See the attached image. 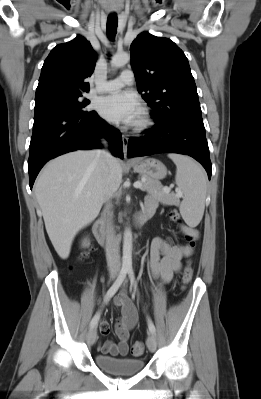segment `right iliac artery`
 I'll use <instances>...</instances> for the list:
<instances>
[{"label": "right iliac artery", "mask_w": 261, "mask_h": 399, "mask_svg": "<svg viewBox=\"0 0 261 399\" xmlns=\"http://www.w3.org/2000/svg\"><path fill=\"white\" fill-rule=\"evenodd\" d=\"M128 270L126 268H122L116 281L112 284V286L109 288V290L107 291L105 297H104V301L103 304H107L109 302V300L116 294V292L118 291V289L120 288V286L122 285V283L124 282V280L126 279V275H127ZM100 314L101 312H97L94 317L92 318L91 322H90V328H94L95 326H97L98 321L100 319Z\"/></svg>", "instance_id": "obj_1"}]
</instances>
